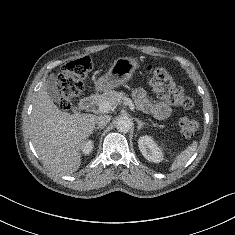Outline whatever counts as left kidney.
Returning a JSON list of instances; mask_svg holds the SVG:
<instances>
[{
    "mask_svg": "<svg viewBox=\"0 0 235 235\" xmlns=\"http://www.w3.org/2000/svg\"><path fill=\"white\" fill-rule=\"evenodd\" d=\"M138 147L148 161L159 163L163 160V154L151 136H141L138 140Z\"/></svg>",
    "mask_w": 235,
    "mask_h": 235,
    "instance_id": "obj_1",
    "label": "left kidney"
}]
</instances>
